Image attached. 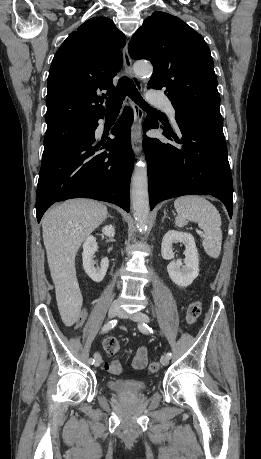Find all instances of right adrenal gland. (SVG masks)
<instances>
[{
    "instance_id": "2a0ac1e0",
    "label": "right adrenal gland",
    "mask_w": 261,
    "mask_h": 459,
    "mask_svg": "<svg viewBox=\"0 0 261 459\" xmlns=\"http://www.w3.org/2000/svg\"><path fill=\"white\" fill-rule=\"evenodd\" d=\"M108 217H109V218H111V219H113V218H114V217H113V216H111L110 214H108Z\"/></svg>"
}]
</instances>
